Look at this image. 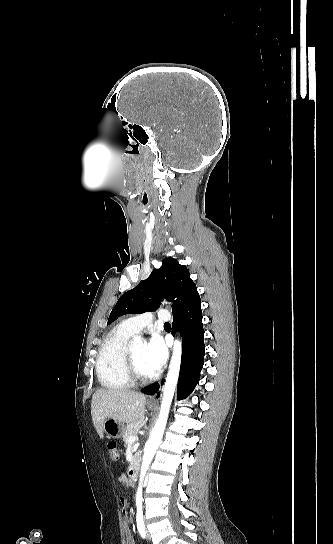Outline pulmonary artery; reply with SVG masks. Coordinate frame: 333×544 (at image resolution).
<instances>
[{"mask_svg": "<svg viewBox=\"0 0 333 544\" xmlns=\"http://www.w3.org/2000/svg\"><path fill=\"white\" fill-rule=\"evenodd\" d=\"M171 316L167 310H160L158 312V319L160 321L168 322ZM152 314L144 313L130 317L122 322V326L131 333H138L145 328L150 327L152 323Z\"/></svg>", "mask_w": 333, "mask_h": 544, "instance_id": "obj_1", "label": "pulmonary artery"}]
</instances>
